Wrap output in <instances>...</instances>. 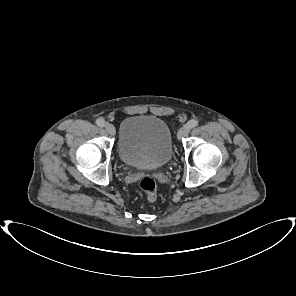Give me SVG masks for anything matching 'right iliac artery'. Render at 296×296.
<instances>
[{"mask_svg":"<svg viewBox=\"0 0 296 296\" xmlns=\"http://www.w3.org/2000/svg\"><path fill=\"white\" fill-rule=\"evenodd\" d=\"M96 124L99 127H104L105 126V121H104V119L99 118V119L96 120Z\"/></svg>","mask_w":296,"mask_h":296,"instance_id":"82829eb1","label":"right iliac artery"}]
</instances>
